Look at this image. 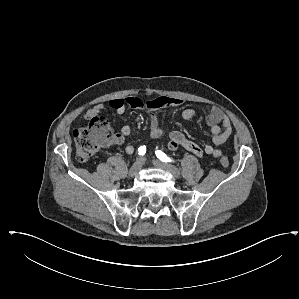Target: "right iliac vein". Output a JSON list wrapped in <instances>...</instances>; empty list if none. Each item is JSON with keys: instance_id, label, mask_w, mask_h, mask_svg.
<instances>
[{"instance_id": "1", "label": "right iliac vein", "mask_w": 299, "mask_h": 299, "mask_svg": "<svg viewBox=\"0 0 299 299\" xmlns=\"http://www.w3.org/2000/svg\"><path fill=\"white\" fill-rule=\"evenodd\" d=\"M142 166H143V160L138 159L130 168L129 176L130 177L136 176L139 173V171L141 170Z\"/></svg>"}]
</instances>
